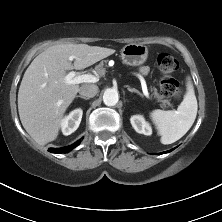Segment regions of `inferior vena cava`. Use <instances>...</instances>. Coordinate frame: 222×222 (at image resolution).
<instances>
[{"label": "inferior vena cava", "instance_id": "obj_1", "mask_svg": "<svg viewBox=\"0 0 222 222\" xmlns=\"http://www.w3.org/2000/svg\"><path fill=\"white\" fill-rule=\"evenodd\" d=\"M98 92V87L94 84H84L79 89V94L86 98L94 97Z\"/></svg>", "mask_w": 222, "mask_h": 222}]
</instances>
